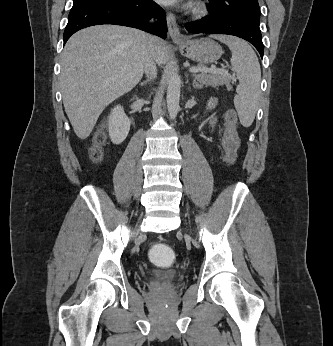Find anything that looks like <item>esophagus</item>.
I'll list each match as a JSON object with an SVG mask.
<instances>
[{
    "label": "esophagus",
    "mask_w": 333,
    "mask_h": 346,
    "mask_svg": "<svg viewBox=\"0 0 333 346\" xmlns=\"http://www.w3.org/2000/svg\"><path fill=\"white\" fill-rule=\"evenodd\" d=\"M168 33L174 42H183L185 37L181 34L180 29L177 25L175 16L171 12H167L166 15Z\"/></svg>",
    "instance_id": "obj_1"
}]
</instances>
